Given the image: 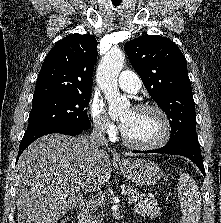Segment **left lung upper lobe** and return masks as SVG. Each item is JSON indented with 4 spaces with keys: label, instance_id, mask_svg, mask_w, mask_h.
Instances as JSON below:
<instances>
[{
    "label": "left lung upper lobe",
    "instance_id": "1",
    "mask_svg": "<svg viewBox=\"0 0 221 223\" xmlns=\"http://www.w3.org/2000/svg\"><path fill=\"white\" fill-rule=\"evenodd\" d=\"M124 49L148 93L169 118L167 144L198 140L187 62L179 47L168 38L145 35L127 42Z\"/></svg>",
    "mask_w": 221,
    "mask_h": 223
}]
</instances>
